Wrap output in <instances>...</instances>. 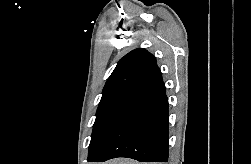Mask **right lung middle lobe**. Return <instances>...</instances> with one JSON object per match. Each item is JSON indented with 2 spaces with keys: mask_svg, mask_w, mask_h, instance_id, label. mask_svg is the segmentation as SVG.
<instances>
[{
  "mask_svg": "<svg viewBox=\"0 0 251 164\" xmlns=\"http://www.w3.org/2000/svg\"><path fill=\"white\" fill-rule=\"evenodd\" d=\"M141 92L142 91L138 89L124 88L102 95L93 125L88 158L105 137L114 121L125 109L138 99Z\"/></svg>",
  "mask_w": 251,
  "mask_h": 164,
  "instance_id": "1",
  "label": "right lung middle lobe"
}]
</instances>
